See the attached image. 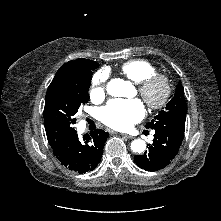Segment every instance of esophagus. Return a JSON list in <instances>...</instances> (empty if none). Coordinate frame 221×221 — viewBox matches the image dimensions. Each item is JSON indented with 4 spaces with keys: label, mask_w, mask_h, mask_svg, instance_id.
Masks as SVG:
<instances>
[{
    "label": "esophagus",
    "mask_w": 221,
    "mask_h": 221,
    "mask_svg": "<svg viewBox=\"0 0 221 221\" xmlns=\"http://www.w3.org/2000/svg\"><path fill=\"white\" fill-rule=\"evenodd\" d=\"M122 136H123L124 138H127V139H133V138H134L133 136L127 135V134H122Z\"/></svg>",
    "instance_id": "esophagus-1"
}]
</instances>
